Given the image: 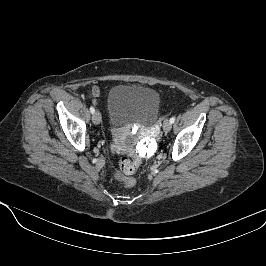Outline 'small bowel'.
Here are the masks:
<instances>
[{"instance_id": "small-bowel-1", "label": "small bowel", "mask_w": 266, "mask_h": 266, "mask_svg": "<svg viewBox=\"0 0 266 266\" xmlns=\"http://www.w3.org/2000/svg\"><path fill=\"white\" fill-rule=\"evenodd\" d=\"M91 95L93 98H96L99 96V89L97 87H93L92 91H91Z\"/></svg>"}]
</instances>
